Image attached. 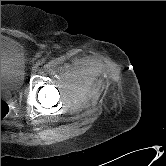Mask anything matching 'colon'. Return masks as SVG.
I'll return each mask as SVG.
<instances>
[{
  "instance_id": "5ec220e1",
  "label": "colon",
  "mask_w": 166,
  "mask_h": 166,
  "mask_svg": "<svg viewBox=\"0 0 166 166\" xmlns=\"http://www.w3.org/2000/svg\"><path fill=\"white\" fill-rule=\"evenodd\" d=\"M9 113V106L6 101L1 99V120H3Z\"/></svg>"
}]
</instances>
